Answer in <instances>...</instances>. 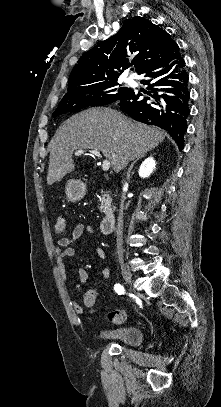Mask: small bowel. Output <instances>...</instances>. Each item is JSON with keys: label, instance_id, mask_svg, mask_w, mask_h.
I'll return each mask as SVG.
<instances>
[{"label": "small bowel", "instance_id": "small-bowel-1", "mask_svg": "<svg viewBox=\"0 0 221 407\" xmlns=\"http://www.w3.org/2000/svg\"><path fill=\"white\" fill-rule=\"evenodd\" d=\"M84 233L89 235H94L95 230L94 227L89 224L77 223L72 231L70 238H60L56 241L54 246V254L56 256V264L57 270L62 283L67 284L69 281L68 271L65 264V260L72 257L74 255V249L72 248V244L78 240ZM101 258L103 255H100ZM110 275V270L108 267H104L101 270L100 278H108ZM89 281V275L84 268H79L74 276V282L76 289L80 292L81 286L84 283ZM97 295V293H96ZM86 293L84 294V301H85ZM85 303V302H84ZM72 308L77 315H82L84 312V308L78 302L72 301L71 302Z\"/></svg>", "mask_w": 221, "mask_h": 407}]
</instances>
